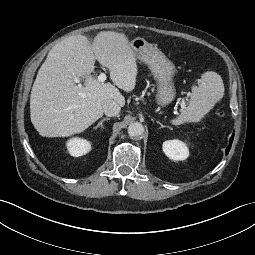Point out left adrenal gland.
<instances>
[{
  "mask_svg": "<svg viewBox=\"0 0 255 255\" xmlns=\"http://www.w3.org/2000/svg\"><path fill=\"white\" fill-rule=\"evenodd\" d=\"M159 125H160V128H170L169 126H165L163 125L161 122L159 121H156Z\"/></svg>",
  "mask_w": 255,
  "mask_h": 255,
  "instance_id": "left-adrenal-gland-1",
  "label": "left adrenal gland"
}]
</instances>
